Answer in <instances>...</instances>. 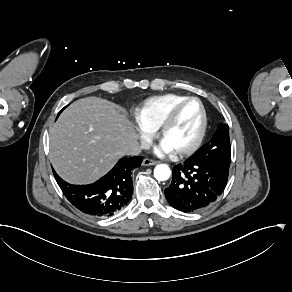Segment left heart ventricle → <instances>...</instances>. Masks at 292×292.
<instances>
[{
    "instance_id": "left-heart-ventricle-1",
    "label": "left heart ventricle",
    "mask_w": 292,
    "mask_h": 292,
    "mask_svg": "<svg viewBox=\"0 0 292 292\" xmlns=\"http://www.w3.org/2000/svg\"><path fill=\"white\" fill-rule=\"evenodd\" d=\"M200 119L196 102L187 103L166 131L164 141L173 148L186 146L193 138Z\"/></svg>"
}]
</instances>
